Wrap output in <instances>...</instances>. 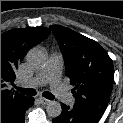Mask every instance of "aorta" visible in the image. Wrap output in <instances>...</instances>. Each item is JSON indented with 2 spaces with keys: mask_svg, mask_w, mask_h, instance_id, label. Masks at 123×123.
<instances>
[{
  "mask_svg": "<svg viewBox=\"0 0 123 123\" xmlns=\"http://www.w3.org/2000/svg\"><path fill=\"white\" fill-rule=\"evenodd\" d=\"M46 61V54L38 48L31 49L26 55L27 64L34 69L43 68ZM46 111L48 116L57 118L62 112L61 104L57 101H50L46 106Z\"/></svg>",
  "mask_w": 123,
  "mask_h": 123,
  "instance_id": "obj_1",
  "label": "aorta"
}]
</instances>
